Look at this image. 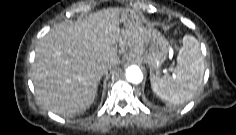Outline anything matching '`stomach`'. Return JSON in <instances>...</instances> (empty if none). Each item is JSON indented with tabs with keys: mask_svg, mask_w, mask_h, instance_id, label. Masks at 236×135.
<instances>
[{
	"mask_svg": "<svg viewBox=\"0 0 236 135\" xmlns=\"http://www.w3.org/2000/svg\"><path fill=\"white\" fill-rule=\"evenodd\" d=\"M122 18L125 22L132 21L133 15L129 12ZM169 48V42L157 30L146 29L141 47L138 50H131L129 59L147 63L150 68V77H153L159 74L160 68L168 56Z\"/></svg>",
	"mask_w": 236,
	"mask_h": 135,
	"instance_id": "obj_1",
	"label": "stomach"
}]
</instances>
